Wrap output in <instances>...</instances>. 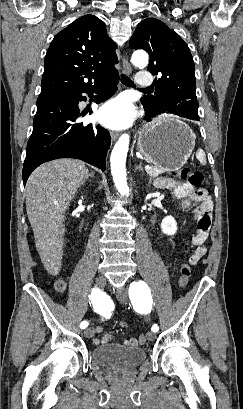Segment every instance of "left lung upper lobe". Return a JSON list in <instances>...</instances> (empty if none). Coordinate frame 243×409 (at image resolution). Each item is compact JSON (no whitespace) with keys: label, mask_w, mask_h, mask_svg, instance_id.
Listing matches in <instances>:
<instances>
[{"label":"left lung upper lobe","mask_w":243,"mask_h":409,"mask_svg":"<svg viewBox=\"0 0 243 409\" xmlns=\"http://www.w3.org/2000/svg\"><path fill=\"white\" fill-rule=\"evenodd\" d=\"M129 46L146 50L150 55L148 70L160 77L154 81V95L141 98L144 107L191 104L198 110L194 61L188 45L176 32L158 19L148 18L138 24Z\"/></svg>","instance_id":"obj_1"}]
</instances>
